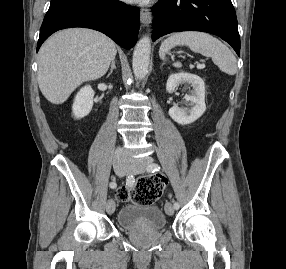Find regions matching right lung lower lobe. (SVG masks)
<instances>
[{"label": "right lung lower lobe", "mask_w": 286, "mask_h": 269, "mask_svg": "<svg viewBox=\"0 0 286 269\" xmlns=\"http://www.w3.org/2000/svg\"><path fill=\"white\" fill-rule=\"evenodd\" d=\"M140 26L139 9L117 0H62L50 4L37 44L54 32L68 27L98 30L125 49L133 47Z\"/></svg>", "instance_id": "obj_1"}]
</instances>
